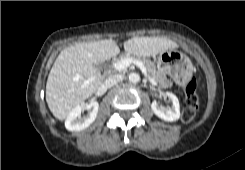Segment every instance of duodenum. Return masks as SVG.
<instances>
[{
	"label": "duodenum",
	"mask_w": 245,
	"mask_h": 170,
	"mask_svg": "<svg viewBox=\"0 0 245 170\" xmlns=\"http://www.w3.org/2000/svg\"><path fill=\"white\" fill-rule=\"evenodd\" d=\"M108 75H109V76L115 75V71H109V72H108Z\"/></svg>",
	"instance_id": "410a0bca"
}]
</instances>
